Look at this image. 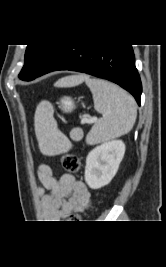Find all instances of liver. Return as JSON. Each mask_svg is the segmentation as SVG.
I'll return each mask as SVG.
<instances>
[{"label": "liver", "mask_w": 166, "mask_h": 267, "mask_svg": "<svg viewBox=\"0 0 166 267\" xmlns=\"http://www.w3.org/2000/svg\"><path fill=\"white\" fill-rule=\"evenodd\" d=\"M88 77L86 75H74L60 79L55 83L56 87H73L81 84Z\"/></svg>", "instance_id": "6515ba94"}]
</instances>
